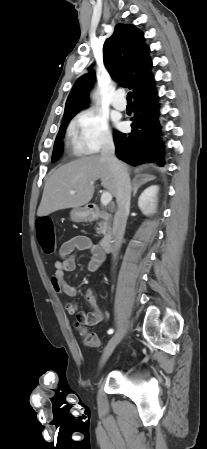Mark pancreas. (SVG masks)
I'll return each instance as SVG.
<instances>
[{
	"label": "pancreas",
	"instance_id": "1",
	"mask_svg": "<svg viewBox=\"0 0 207 449\" xmlns=\"http://www.w3.org/2000/svg\"><path fill=\"white\" fill-rule=\"evenodd\" d=\"M100 218H102L103 220L97 223L98 227L96 228V231L97 234H102L106 236L111 230L110 224L106 220L105 214H100Z\"/></svg>",
	"mask_w": 207,
	"mask_h": 449
}]
</instances>
